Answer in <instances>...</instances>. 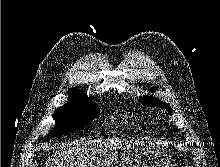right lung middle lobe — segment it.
<instances>
[{
    "label": "right lung middle lobe",
    "mask_w": 220,
    "mask_h": 167,
    "mask_svg": "<svg viewBox=\"0 0 220 167\" xmlns=\"http://www.w3.org/2000/svg\"><path fill=\"white\" fill-rule=\"evenodd\" d=\"M99 113L93 101H75L58 107L53 115L55 128L51 136L68 134L80 130L89 124Z\"/></svg>",
    "instance_id": "right-lung-middle-lobe-1"
}]
</instances>
